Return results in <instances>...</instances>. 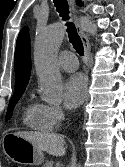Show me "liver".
<instances>
[{
    "instance_id": "liver-1",
    "label": "liver",
    "mask_w": 125,
    "mask_h": 167,
    "mask_svg": "<svg viewBox=\"0 0 125 167\" xmlns=\"http://www.w3.org/2000/svg\"><path fill=\"white\" fill-rule=\"evenodd\" d=\"M16 136L22 137L25 140L31 142L41 151H45L53 156H63L65 155V140L59 134L45 133V132H32L23 131L16 132Z\"/></svg>"
}]
</instances>
